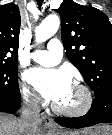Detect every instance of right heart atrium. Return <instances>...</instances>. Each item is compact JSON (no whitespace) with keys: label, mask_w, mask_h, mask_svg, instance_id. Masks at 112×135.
<instances>
[{"label":"right heart atrium","mask_w":112,"mask_h":135,"mask_svg":"<svg viewBox=\"0 0 112 135\" xmlns=\"http://www.w3.org/2000/svg\"><path fill=\"white\" fill-rule=\"evenodd\" d=\"M22 101L31 108H37L41 104L39 96L31 90L27 85L22 84L20 87Z\"/></svg>","instance_id":"1"}]
</instances>
